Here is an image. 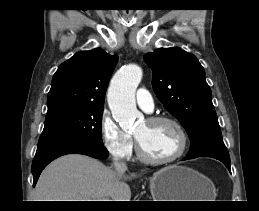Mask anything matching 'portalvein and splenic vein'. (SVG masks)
<instances>
[{"label": "portal vein and splenic vein", "mask_w": 259, "mask_h": 211, "mask_svg": "<svg viewBox=\"0 0 259 211\" xmlns=\"http://www.w3.org/2000/svg\"><path fill=\"white\" fill-rule=\"evenodd\" d=\"M98 201H110V200L107 199V198H104V199H100V200H98Z\"/></svg>", "instance_id": "obj_1"}]
</instances>
